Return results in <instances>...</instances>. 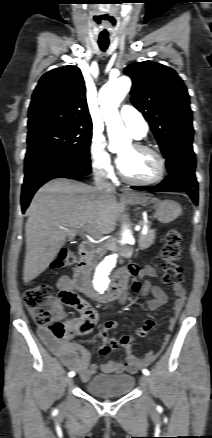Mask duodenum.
<instances>
[{
    "mask_svg": "<svg viewBox=\"0 0 212 438\" xmlns=\"http://www.w3.org/2000/svg\"><path fill=\"white\" fill-rule=\"evenodd\" d=\"M92 253V245L89 242H82L79 246L80 260L75 269L74 284L78 291L85 294L94 301H112L119 299L123 291V279L117 274L113 277L109 289L103 296H99L89 282V262Z\"/></svg>",
    "mask_w": 212,
    "mask_h": 438,
    "instance_id": "duodenum-1",
    "label": "duodenum"
}]
</instances>
